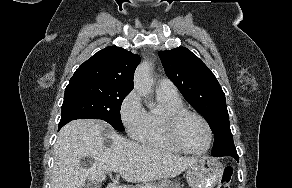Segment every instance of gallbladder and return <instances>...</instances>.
Listing matches in <instances>:
<instances>
[{
	"mask_svg": "<svg viewBox=\"0 0 292 188\" xmlns=\"http://www.w3.org/2000/svg\"><path fill=\"white\" fill-rule=\"evenodd\" d=\"M101 184L98 182L86 181L80 188H100Z\"/></svg>",
	"mask_w": 292,
	"mask_h": 188,
	"instance_id": "obj_1",
	"label": "gallbladder"
}]
</instances>
